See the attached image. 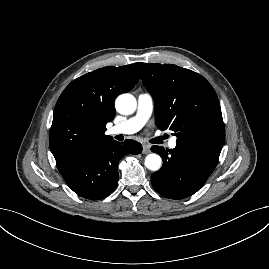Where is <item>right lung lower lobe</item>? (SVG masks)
I'll return each mask as SVG.
<instances>
[{
	"label": "right lung lower lobe",
	"instance_id": "98d812e1",
	"mask_svg": "<svg viewBox=\"0 0 269 269\" xmlns=\"http://www.w3.org/2000/svg\"><path fill=\"white\" fill-rule=\"evenodd\" d=\"M142 146L134 140L113 139L95 144L57 163L67 185L79 196L99 200L112 193L119 180L117 165L125 154H140Z\"/></svg>",
	"mask_w": 269,
	"mask_h": 269
}]
</instances>
